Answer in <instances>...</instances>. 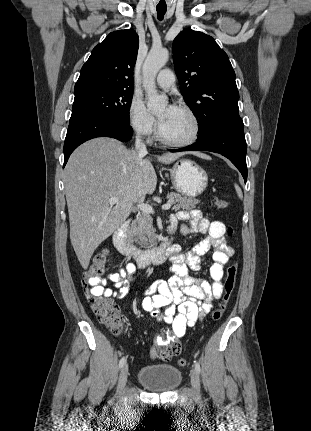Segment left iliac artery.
I'll use <instances>...</instances> for the list:
<instances>
[{"instance_id":"obj_1","label":"left iliac artery","mask_w":311,"mask_h":431,"mask_svg":"<svg viewBox=\"0 0 311 431\" xmlns=\"http://www.w3.org/2000/svg\"><path fill=\"white\" fill-rule=\"evenodd\" d=\"M194 365H195V369L198 373H200L201 369H200V365L197 361H194Z\"/></svg>"}]
</instances>
